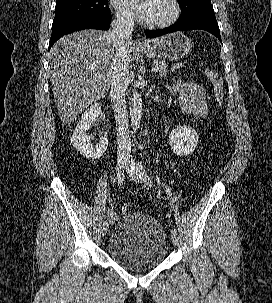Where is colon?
Returning <instances> with one entry per match:
<instances>
[{
  "instance_id": "colon-1",
  "label": "colon",
  "mask_w": 272,
  "mask_h": 303,
  "mask_svg": "<svg viewBox=\"0 0 272 303\" xmlns=\"http://www.w3.org/2000/svg\"><path fill=\"white\" fill-rule=\"evenodd\" d=\"M187 67V62L184 60H177L174 61L171 65V71L173 73H180L185 70ZM204 75L207 76L214 86V97L216 102L221 105L224 101V88H223V81L221 77L213 70L205 69L203 71ZM122 212L126 213L128 211L126 206L122 207Z\"/></svg>"
}]
</instances>
